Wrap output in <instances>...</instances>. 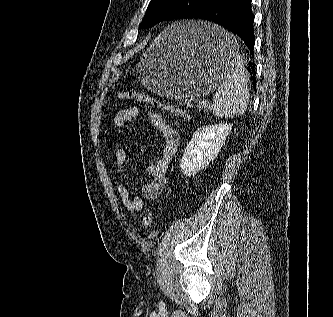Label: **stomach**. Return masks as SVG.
Masks as SVG:
<instances>
[{"label":"stomach","mask_w":333,"mask_h":317,"mask_svg":"<svg viewBox=\"0 0 333 317\" xmlns=\"http://www.w3.org/2000/svg\"><path fill=\"white\" fill-rule=\"evenodd\" d=\"M229 29L203 21L168 26L140 57L136 70L155 94L174 99L201 97L227 81V69L246 62Z\"/></svg>","instance_id":"1"}]
</instances>
